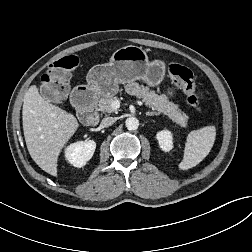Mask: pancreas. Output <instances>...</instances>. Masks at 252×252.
Masks as SVG:
<instances>
[{"instance_id": "obj_1", "label": "pancreas", "mask_w": 252, "mask_h": 252, "mask_svg": "<svg viewBox=\"0 0 252 252\" xmlns=\"http://www.w3.org/2000/svg\"><path fill=\"white\" fill-rule=\"evenodd\" d=\"M142 101L157 110L158 113L167 115L173 122L181 127H185L188 122V116L182 113L178 108V105L170 102L166 95H158L155 91L149 90L148 88H142L141 90ZM119 100L114 94L101 98L98 101L99 109L102 112L111 113L113 108L111 104L113 101Z\"/></svg>"}]
</instances>
